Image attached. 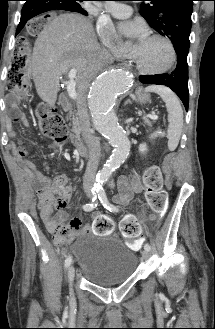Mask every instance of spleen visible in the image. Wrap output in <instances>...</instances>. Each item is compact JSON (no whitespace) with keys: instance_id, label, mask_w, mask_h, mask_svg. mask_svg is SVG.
Listing matches in <instances>:
<instances>
[{"instance_id":"obj_1","label":"spleen","mask_w":215,"mask_h":329,"mask_svg":"<svg viewBox=\"0 0 215 329\" xmlns=\"http://www.w3.org/2000/svg\"><path fill=\"white\" fill-rule=\"evenodd\" d=\"M146 92L157 93L165 102L168 112V148L174 151L178 146L183 129V110L178 97L167 87L152 85L145 88Z\"/></svg>"}]
</instances>
